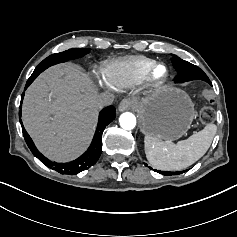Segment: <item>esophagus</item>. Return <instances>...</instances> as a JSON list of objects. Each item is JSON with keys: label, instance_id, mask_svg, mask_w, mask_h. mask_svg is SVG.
<instances>
[{"label": "esophagus", "instance_id": "34e87169", "mask_svg": "<svg viewBox=\"0 0 237 237\" xmlns=\"http://www.w3.org/2000/svg\"><path fill=\"white\" fill-rule=\"evenodd\" d=\"M135 103L136 101L134 99H124L120 102L119 106H118V110L120 112H123L125 110H128V109H132L135 107Z\"/></svg>", "mask_w": 237, "mask_h": 237}]
</instances>
